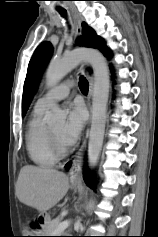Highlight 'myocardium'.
<instances>
[{
    "label": "myocardium",
    "instance_id": "f54148a6",
    "mask_svg": "<svg viewBox=\"0 0 158 237\" xmlns=\"http://www.w3.org/2000/svg\"><path fill=\"white\" fill-rule=\"evenodd\" d=\"M48 140L51 146V149L56 156V158L64 157L68 154L69 149L67 147L62 146L55 136L53 135L52 131L48 129Z\"/></svg>",
    "mask_w": 158,
    "mask_h": 237
}]
</instances>
